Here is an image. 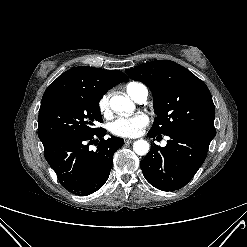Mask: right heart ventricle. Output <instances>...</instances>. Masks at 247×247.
<instances>
[{
  "label": "right heart ventricle",
  "mask_w": 247,
  "mask_h": 247,
  "mask_svg": "<svg viewBox=\"0 0 247 247\" xmlns=\"http://www.w3.org/2000/svg\"><path fill=\"white\" fill-rule=\"evenodd\" d=\"M139 85L140 84L136 83V82L129 83L126 87L127 93L129 95H131L133 93V91L135 90V88H137V86H139Z\"/></svg>",
  "instance_id": "e07e8e85"
}]
</instances>
